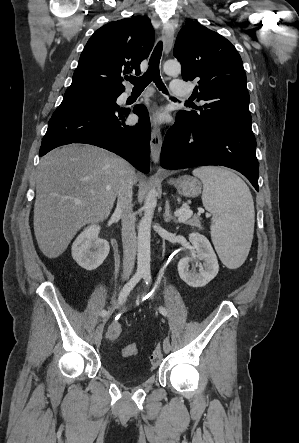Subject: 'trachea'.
<instances>
[{
    "mask_svg": "<svg viewBox=\"0 0 299 443\" xmlns=\"http://www.w3.org/2000/svg\"><path fill=\"white\" fill-rule=\"evenodd\" d=\"M162 49V42L159 41L150 57L147 71L140 77H131L128 79L134 85L133 91L142 92L153 81L160 91L168 94L167 89L160 77L159 70Z\"/></svg>",
    "mask_w": 299,
    "mask_h": 443,
    "instance_id": "trachea-1",
    "label": "trachea"
}]
</instances>
